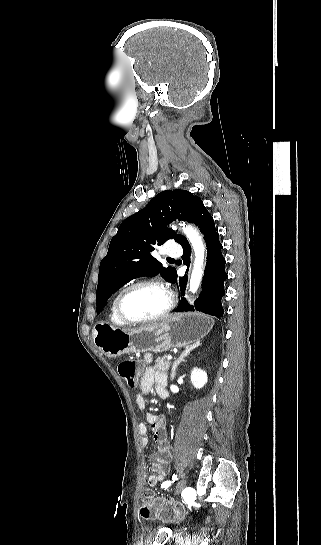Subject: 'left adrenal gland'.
I'll return each instance as SVG.
<instances>
[{
    "mask_svg": "<svg viewBox=\"0 0 321 545\" xmlns=\"http://www.w3.org/2000/svg\"><path fill=\"white\" fill-rule=\"evenodd\" d=\"M199 345H200V341H197V343H193V345H188V347H185V351H183V353H181L179 359H177V361H175V363H173V365H172L171 381H173V379H175L176 369H177L178 365H180V363H182V361H184L185 357H188L189 353H191V351H193V349H197V347H199Z\"/></svg>",
    "mask_w": 321,
    "mask_h": 545,
    "instance_id": "a2214340",
    "label": "left adrenal gland"
}]
</instances>
